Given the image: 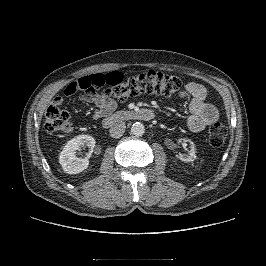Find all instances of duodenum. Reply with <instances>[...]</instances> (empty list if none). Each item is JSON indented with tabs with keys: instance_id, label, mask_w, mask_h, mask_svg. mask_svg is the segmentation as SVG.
<instances>
[{
	"instance_id": "duodenum-1",
	"label": "duodenum",
	"mask_w": 266,
	"mask_h": 266,
	"mask_svg": "<svg viewBox=\"0 0 266 266\" xmlns=\"http://www.w3.org/2000/svg\"><path fill=\"white\" fill-rule=\"evenodd\" d=\"M155 117V114L150 109H138V110H132V111H120L117 113H114L112 115L105 116V118L102 121V126L104 128L112 127L120 122L126 121V120H142V121H150Z\"/></svg>"
}]
</instances>
